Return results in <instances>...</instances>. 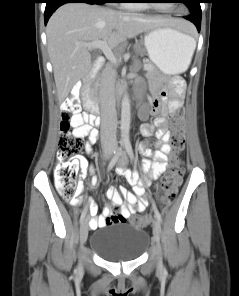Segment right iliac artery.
Returning <instances> with one entry per match:
<instances>
[{"label":"right iliac artery","instance_id":"1","mask_svg":"<svg viewBox=\"0 0 239 296\" xmlns=\"http://www.w3.org/2000/svg\"><path fill=\"white\" fill-rule=\"evenodd\" d=\"M121 151H122V148L120 147L118 149V151L115 153L114 157L112 158V160L110 161L109 165H108V168L107 170H111L114 165L116 164L118 158H119V155L121 154ZM87 212H88V209L87 208H84V211H82L81 213V218H80V221H79V224L81 225L84 221H85V216L87 215Z\"/></svg>","mask_w":239,"mask_h":296}]
</instances>
